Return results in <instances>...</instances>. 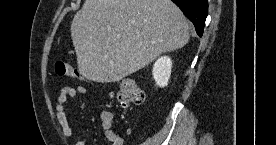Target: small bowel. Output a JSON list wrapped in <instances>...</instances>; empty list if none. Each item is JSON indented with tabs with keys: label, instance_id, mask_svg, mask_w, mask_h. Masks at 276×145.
Instances as JSON below:
<instances>
[{
	"label": "small bowel",
	"instance_id": "c3829d8e",
	"mask_svg": "<svg viewBox=\"0 0 276 145\" xmlns=\"http://www.w3.org/2000/svg\"><path fill=\"white\" fill-rule=\"evenodd\" d=\"M88 92L85 86H66L60 91L57 102L55 105L56 117L62 128L64 136L69 137L72 134V127L68 119L65 105L69 98H75L79 95H84ZM113 126V116L109 112H104L101 115V128L104 136L109 141L111 145H123V138L114 132ZM77 145H88L87 141L81 140L77 142Z\"/></svg>",
	"mask_w": 276,
	"mask_h": 145
}]
</instances>
